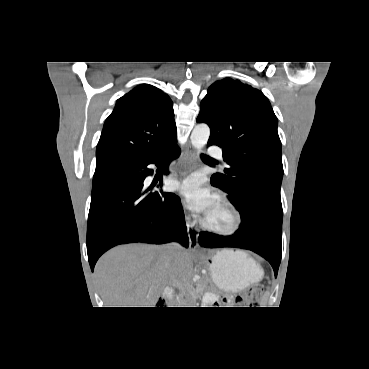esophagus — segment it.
Listing matches in <instances>:
<instances>
[{"instance_id": "1", "label": "esophagus", "mask_w": 369, "mask_h": 369, "mask_svg": "<svg viewBox=\"0 0 369 369\" xmlns=\"http://www.w3.org/2000/svg\"><path fill=\"white\" fill-rule=\"evenodd\" d=\"M197 158L196 151L193 147L187 146L183 152V160L186 164H194ZM187 234L189 237V248L195 250L198 247V233L195 228L187 222Z\"/></svg>"}]
</instances>
